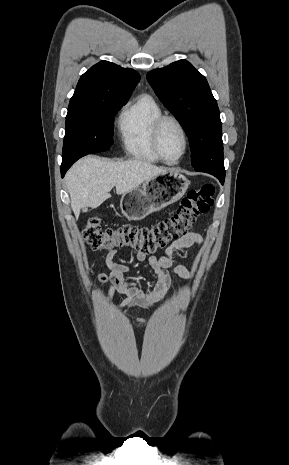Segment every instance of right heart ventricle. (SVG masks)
<instances>
[{
  "mask_svg": "<svg viewBox=\"0 0 289 465\" xmlns=\"http://www.w3.org/2000/svg\"><path fill=\"white\" fill-rule=\"evenodd\" d=\"M162 110L155 99L142 94L120 114L118 127L125 151L137 160L156 163L160 159L152 144V130Z\"/></svg>",
  "mask_w": 289,
  "mask_h": 465,
  "instance_id": "right-heart-ventricle-1",
  "label": "right heart ventricle"
}]
</instances>
